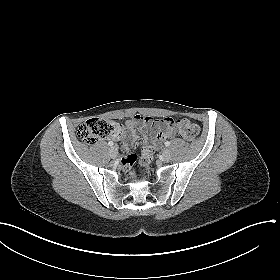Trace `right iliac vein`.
I'll list each match as a JSON object with an SVG mask.
<instances>
[{"label": "right iliac vein", "instance_id": "obj_1", "mask_svg": "<svg viewBox=\"0 0 280 280\" xmlns=\"http://www.w3.org/2000/svg\"><path fill=\"white\" fill-rule=\"evenodd\" d=\"M109 154L111 156V158L115 159L118 155V150L116 147H111L109 150Z\"/></svg>", "mask_w": 280, "mask_h": 280}]
</instances>
